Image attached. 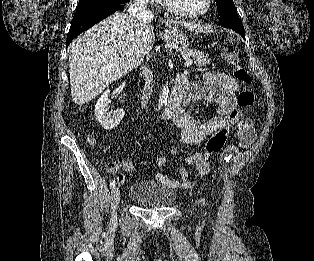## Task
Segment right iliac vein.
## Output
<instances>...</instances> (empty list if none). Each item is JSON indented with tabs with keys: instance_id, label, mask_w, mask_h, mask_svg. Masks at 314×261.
Here are the masks:
<instances>
[{
	"instance_id": "1",
	"label": "right iliac vein",
	"mask_w": 314,
	"mask_h": 261,
	"mask_svg": "<svg viewBox=\"0 0 314 261\" xmlns=\"http://www.w3.org/2000/svg\"><path fill=\"white\" fill-rule=\"evenodd\" d=\"M120 200V190L117 186L112 189L111 193V213H112V223L116 220V207Z\"/></svg>"
}]
</instances>
